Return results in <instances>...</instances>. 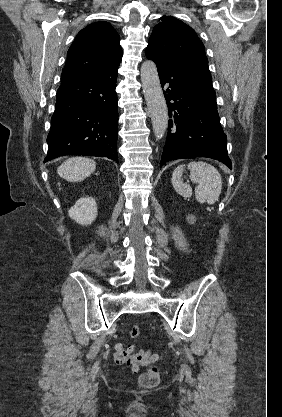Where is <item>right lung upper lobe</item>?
<instances>
[{
	"mask_svg": "<svg viewBox=\"0 0 282 417\" xmlns=\"http://www.w3.org/2000/svg\"><path fill=\"white\" fill-rule=\"evenodd\" d=\"M119 43L118 33L105 21L82 29L68 50L61 83L119 66L122 59Z\"/></svg>",
	"mask_w": 282,
	"mask_h": 417,
	"instance_id": "cb5924a9",
	"label": "right lung upper lobe"
}]
</instances>
